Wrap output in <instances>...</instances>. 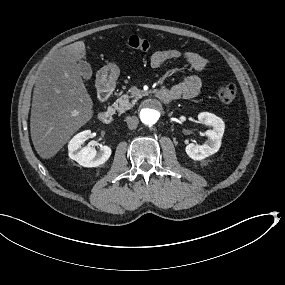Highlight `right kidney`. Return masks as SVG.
<instances>
[{"label": "right kidney", "instance_id": "ca27d5eb", "mask_svg": "<svg viewBox=\"0 0 285 285\" xmlns=\"http://www.w3.org/2000/svg\"><path fill=\"white\" fill-rule=\"evenodd\" d=\"M91 137L90 130L83 131L75 135L68 145L69 157L86 168H94L105 164L112 154V150L108 146L100 147L99 152H96L91 146L83 147V143Z\"/></svg>", "mask_w": 285, "mask_h": 285}]
</instances>
